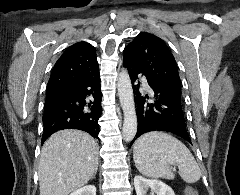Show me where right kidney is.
<instances>
[{"instance_id": "1", "label": "right kidney", "mask_w": 240, "mask_h": 195, "mask_svg": "<svg viewBox=\"0 0 240 195\" xmlns=\"http://www.w3.org/2000/svg\"><path fill=\"white\" fill-rule=\"evenodd\" d=\"M70 195H96L95 185H84L80 189H75Z\"/></svg>"}]
</instances>
